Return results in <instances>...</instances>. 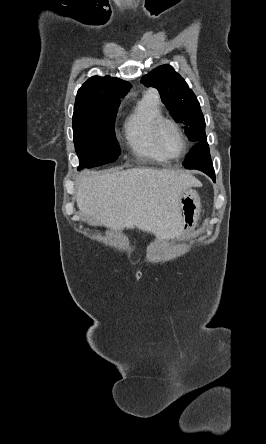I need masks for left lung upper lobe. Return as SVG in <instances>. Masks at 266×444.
<instances>
[{
	"instance_id": "obj_1",
	"label": "left lung upper lobe",
	"mask_w": 266,
	"mask_h": 444,
	"mask_svg": "<svg viewBox=\"0 0 266 444\" xmlns=\"http://www.w3.org/2000/svg\"><path fill=\"white\" fill-rule=\"evenodd\" d=\"M147 87H155L172 117L185 125L191 141L206 140L205 120L199 102L185 80L170 65H162L141 79Z\"/></svg>"
}]
</instances>
